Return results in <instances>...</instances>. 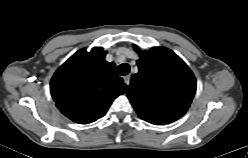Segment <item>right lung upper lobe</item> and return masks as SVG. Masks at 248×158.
<instances>
[{"mask_svg": "<svg viewBox=\"0 0 248 158\" xmlns=\"http://www.w3.org/2000/svg\"><path fill=\"white\" fill-rule=\"evenodd\" d=\"M106 51L94 47L72 55L53 75L51 95L58 109L76 123L88 124L103 117L112 101L126 91Z\"/></svg>", "mask_w": 248, "mask_h": 158, "instance_id": "1", "label": "right lung upper lobe"}]
</instances>
